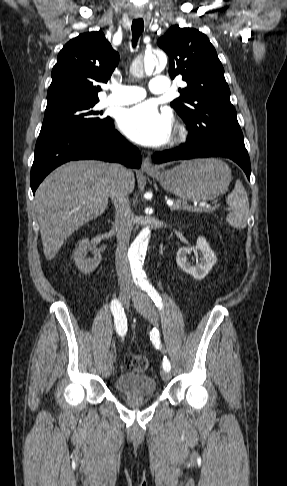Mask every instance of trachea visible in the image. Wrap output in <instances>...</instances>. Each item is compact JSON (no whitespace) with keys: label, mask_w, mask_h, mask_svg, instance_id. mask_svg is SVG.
I'll use <instances>...</instances> for the list:
<instances>
[{"label":"trachea","mask_w":287,"mask_h":486,"mask_svg":"<svg viewBox=\"0 0 287 486\" xmlns=\"http://www.w3.org/2000/svg\"><path fill=\"white\" fill-rule=\"evenodd\" d=\"M144 27V22L142 19H135L132 22V34H133V46L135 47L139 36L141 35Z\"/></svg>","instance_id":"trachea-1"}]
</instances>
